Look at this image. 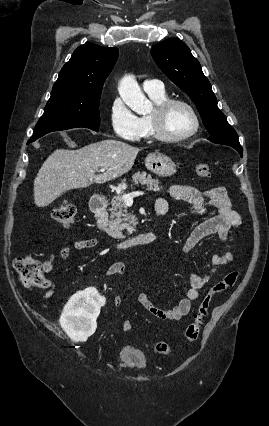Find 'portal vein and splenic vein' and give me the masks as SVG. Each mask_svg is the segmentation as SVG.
Here are the masks:
<instances>
[{
  "label": "portal vein and splenic vein",
  "instance_id": "18ae733b",
  "mask_svg": "<svg viewBox=\"0 0 269 426\" xmlns=\"http://www.w3.org/2000/svg\"><path fill=\"white\" fill-rule=\"evenodd\" d=\"M100 171L101 172H105V169L104 168H101L100 169ZM144 194V192H141V191H136V192H132V193H130V194H125V195H123L122 196V200H123V202L125 203V204H132L133 203V198L134 197H137V196H140V195H143Z\"/></svg>",
  "mask_w": 269,
  "mask_h": 426
}]
</instances>
